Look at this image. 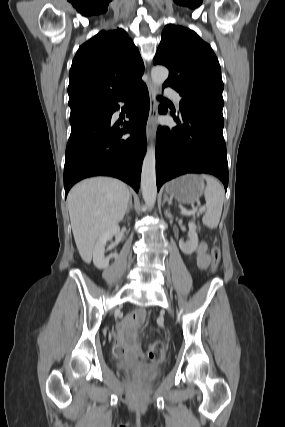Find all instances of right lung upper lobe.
<instances>
[{
  "mask_svg": "<svg viewBox=\"0 0 285 427\" xmlns=\"http://www.w3.org/2000/svg\"><path fill=\"white\" fill-rule=\"evenodd\" d=\"M144 64L123 29L101 31L84 43L69 73L71 113L107 105L141 82Z\"/></svg>",
  "mask_w": 285,
  "mask_h": 427,
  "instance_id": "obj_1",
  "label": "right lung upper lobe"
}]
</instances>
